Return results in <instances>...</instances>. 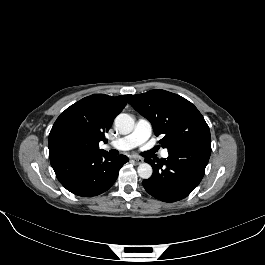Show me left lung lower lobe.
<instances>
[{"label": "left lung lower lobe", "instance_id": "obj_1", "mask_svg": "<svg viewBox=\"0 0 265 265\" xmlns=\"http://www.w3.org/2000/svg\"><path fill=\"white\" fill-rule=\"evenodd\" d=\"M167 159H145L153 175L143 181L145 190L164 202L187 197L201 182L211 154V141L194 143L168 152Z\"/></svg>", "mask_w": 265, "mask_h": 265}]
</instances>
